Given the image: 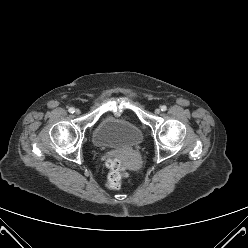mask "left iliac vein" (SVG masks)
I'll return each instance as SVG.
<instances>
[{
	"label": "left iliac vein",
	"mask_w": 248,
	"mask_h": 248,
	"mask_svg": "<svg viewBox=\"0 0 248 248\" xmlns=\"http://www.w3.org/2000/svg\"><path fill=\"white\" fill-rule=\"evenodd\" d=\"M161 110L159 108L155 109V114H159Z\"/></svg>",
	"instance_id": "obj_1"
}]
</instances>
